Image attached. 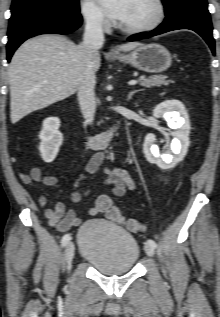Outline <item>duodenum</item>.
Masks as SVG:
<instances>
[{
    "instance_id": "obj_1",
    "label": "duodenum",
    "mask_w": 220,
    "mask_h": 317,
    "mask_svg": "<svg viewBox=\"0 0 220 317\" xmlns=\"http://www.w3.org/2000/svg\"><path fill=\"white\" fill-rule=\"evenodd\" d=\"M119 128L118 122H113L108 129L103 132L87 135L85 143L87 146L95 149L105 148L111 140L115 138L116 131Z\"/></svg>"
}]
</instances>
